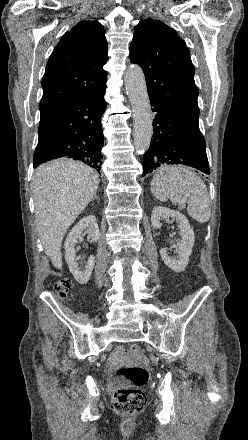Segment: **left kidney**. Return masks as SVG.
Wrapping results in <instances>:
<instances>
[{"label":"left kidney","instance_id":"obj_1","mask_svg":"<svg viewBox=\"0 0 248 440\" xmlns=\"http://www.w3.org/2000/svg\"><path fill=\"white\" fill-rule=\"evenodd\" d=\"M172 217L178 224L181 232V242L177 257H170L167 249L162 248L160 255L164 263L175 272H182L188 265L189 256L194 245V231L188 219L179 211L171 210L166 207H155L151 214V224L153 228L159 229L162 224L160 220Z\"/></svg>","mask_w":248,"mask_h":440}]
</instances>
